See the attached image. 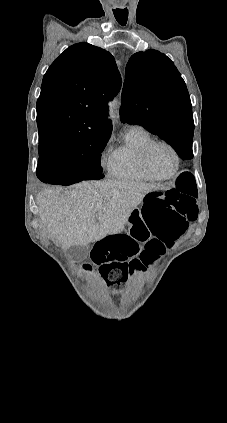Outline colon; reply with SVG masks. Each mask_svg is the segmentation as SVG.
<instances>
[{"mask_svg":"<svg viewBox=\"0 0 227 423\" xmlns=\"http://www.w3.org/2000/svg\"><path fill=\"white\" fill-rule=\"evenodd\" d=\"M197 187L189 173H181L173 188L156 189L146 194L141 217L147 229L134 222L127 234H114L98 241L92 260L99 266L100 275L108 286L119 288L129 272L143 268L163 254L162 246L169 247L198 216ZM144 243V247L140 246ZM89 268V265L85 266Z\"/></svg>","mask_w":227,"mask_h":423,"instance_id":"obj_1","label":"colon"}]
</instances>
